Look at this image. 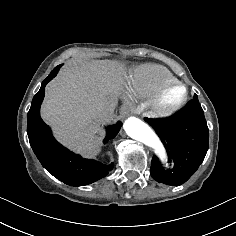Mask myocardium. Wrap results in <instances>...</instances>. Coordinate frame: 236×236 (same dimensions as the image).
<instances>
[{
    "mask_svg": "<svg viewBox=\"0 0 236 236\" xmlns=\"http://www.w3.org/2000/svg\"><path fill=\"white\" fill-rule=\"evenodd\" d=\"M181 89V95L173 102H167V95L175 90ZM189 99V91L185 84L179 81L165 84L153 96L151 109L158 118H168L179 112Z\"/></svg>",
    "mask_w": 236,
    "mask_h": 236,
    "instance_id": "obj_1",
    "label": "myocardium"
}]
</instances>
